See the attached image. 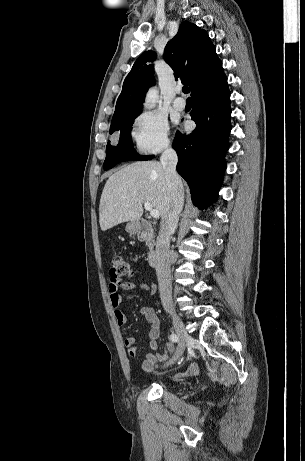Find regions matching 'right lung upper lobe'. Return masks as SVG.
Returning a JSON list of instances; mask_svg holds the SVG:
<instances>
[{
    "label": "right lung upper lobe",
    "instance_id": "obj_1",
    "mask_svg": "<svg viewBox=\"0 0 305 461\" xmlns=\"http://www.w3.org/2000/svg\"><path fill=\"white\" fill-rule=\"evenodd\" d=\"M164 60L173 69L176 80L189 85L191 95L223 73L222 63L206 31L188 21L164 49ZM156 53L147 51L134 63L123 83L112 118V129L120 121L139 115L148 88L155 84L153 65Z\"/></svg>",
    "mask_w": 305,
    "mask_h": 461
}]
</instances>
